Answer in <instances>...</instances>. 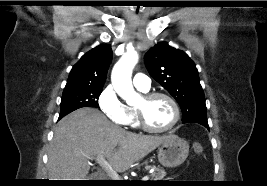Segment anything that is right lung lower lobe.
I'll use <instances>...</instances> for the list:
<instances>
[{"mask_svg":"<svg viewBox=\"0 0 267 186\" xmlns=\"http://www.w3.org/2000/svg\"><path fill=\"white\" fill-rule=\"evenodd\" d=\"M63 116H59V119H61Z\"/></svg>","mask_w":267,"mask_h":186,"instance_id":"obj_1","label":"right lung lower lobe"}]
</instances>
